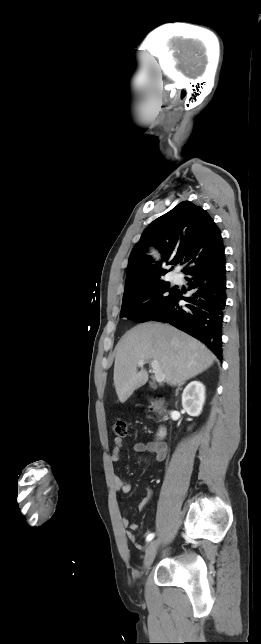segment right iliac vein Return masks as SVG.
<instances>
[{"mask_svg":"<svg viewBox=\"0 0 261 644\" xmlns=\"http://www.w3.org/2000/svg\"><path fill=\"white\" fill-rule=\"evenodd\" d=\"M157 548H158L157 540L150 542L149 545L147 546L145 558H144V564H143L144 570H148L152 565L157 553Z\"/></svg>","mask_w":261,"mask_h":644,"instance_id":"63e3f726","label":"right iliac vein"}]
</instances>
